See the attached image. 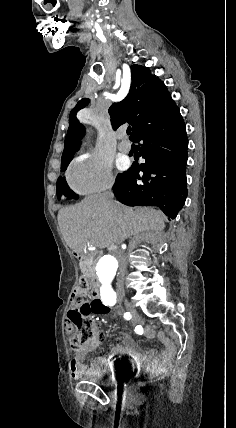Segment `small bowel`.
<instances>
[{"instance_id": "obj_1", "label": "small bowel", "mask_w": 236, "mask_h": 428, "mask_svg": "<svg viewBox=\"0 0 236 428\" xmlns=\"http://www.w3.org/2000/svg\"><path fill=\"white\" fill-rule=\"evenodd\" d=\"M135 332L138 335H144L147 339H153L156 336L155 331L149 326H136ZM157 335L164 344V348L161 351L151 350L148 353H142L131 338L125 337V345H117L112 348L111 353L107 357L98 360V364L106 366L112 365L116 355L126 353L131 356L132 361L138 367L144 368L146 371H157L175 351L172 341L163 332H159ZM99 337L100 339H104L103 334H100ZM85 356V352H78L71 361V371L74 377L79 376L85 368Z\"/></svg>"}]
</instances>
